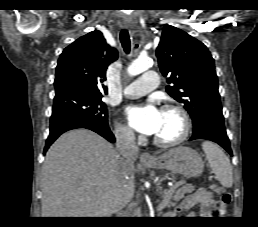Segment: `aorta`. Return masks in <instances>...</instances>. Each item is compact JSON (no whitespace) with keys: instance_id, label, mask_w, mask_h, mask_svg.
<instances>
[{"instance_id":"obj_1","label":"aorta","mask_w":258,"mask_h":227,"mask_svg":"<svg viewBox=\"0 0 258 227\" xmlns=\"http://www.w3.org/2000/svg\"><path fill=\"white\" fill-rule=\"evenodd\" d=\"M151 65L152 60L149 57H139L129 65L127 71L129 75L136 76L146 71Z\"/></svg>"}]
</instances>
